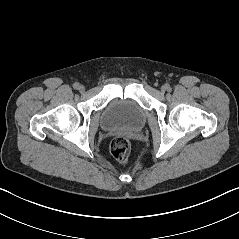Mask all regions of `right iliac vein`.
I'll list each match as a JSON object with an SVG mask.
<instances>
[{
    "instance_id": "right-iliac-vein-1",
    "label": "right iliac vein",
    "mask_w": 239,
    "mask_h": 239,
    "mask_svg": "<svg viewBox=\"0 0 239 239\" xmlns=\"http://www.w3.org/2000/svg\"><path fill=\"white\" fill-rule=\"evenodd\" d=\"M80 92H84L85 91V87L83 85H81L78 89Z\"/></svg>"
}]
</instances>
